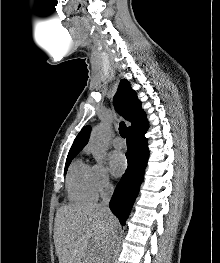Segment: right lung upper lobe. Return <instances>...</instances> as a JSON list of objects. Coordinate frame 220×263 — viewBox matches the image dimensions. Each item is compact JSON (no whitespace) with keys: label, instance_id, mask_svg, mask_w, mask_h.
Wrapping results in <instances>:
<instances>
[{"label":"right lung upper lobe","instance_id":"obj_1","mask_svg":"<svg viewBox=\"0 0 220 263\" xmlns=\"http://www.w3.org/2000/svg\"><path fill=\"white\" fill-rule=\"evenodd\" d=\"M115 109L129 122L128 134L143 130L148 127L146 114L141 109V102L136 92L131 88L126 79L121 80L117 93L113 99ZM90 126L84 127L75 138L69 155H77L87 144L90 135Z\"/></svg>","mask_w":220,"mask_h":263}]
</instances>
